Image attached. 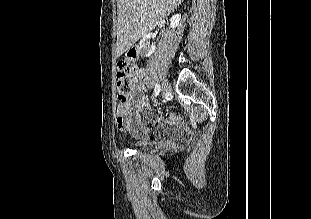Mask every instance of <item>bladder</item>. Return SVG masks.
I'll return each instance as SVG.
<instances>
[{
	"label": "bladder",
	"instance_id": "31cf9c89",
	"mask_svg": "<svg viewBox=\"0 0 311 219\" xmlns=\"http://www.w3.org/2000/svg\"><path fill=\"white\" fill-rule=\"evenodd\" d=\"M135 146L138 149L146 150L151 147V143H137Z\"/></svg>",
	"mask_w": 311,
	"mask_h": 219
}]
</instances>
